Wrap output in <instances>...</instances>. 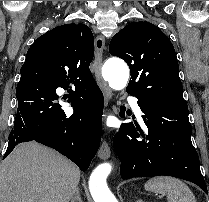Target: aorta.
I'll return each mask as SVG.
<instances>
[{"label":"aorta","instance_id":"762f6f07","mask_svg":"<svg viewBox=\"0 0 209 202\" xmlns=\"http://www.w3.org/2000/svg\"><path fill=\"white\" fill-rule=\"evenodd\" d=\"M102 75L112 89L121 90L128 83L129 68L123 61L109 59L102 69ZM111 169L110 163H102L91 173L89 190L94 202H117L106 182Z\"/></svg>","mask_w":209,"mask_h":202}]
</instances>
